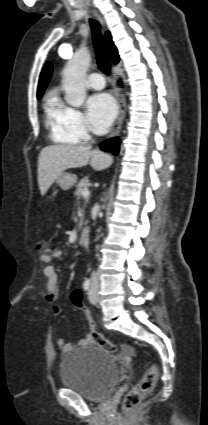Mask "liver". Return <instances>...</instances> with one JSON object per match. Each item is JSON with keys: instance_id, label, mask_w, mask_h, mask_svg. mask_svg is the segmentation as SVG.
Listing matches in <instances>:
<instances>
[{"instance_id": "1", "label": "liver", "mask_w": 208, "mask_h": 425, "mask_svg": "<svg viewBox=\"0 0 208 425\" xmlns=\"http://www.w3.org/2000/svg\"><path fill=\"white\" fill-rule=\"evenodd\" d=\"M113 158L100 150L76 145H51L40 151L38 158V184L42 196L53 182L66 170L80 168L90 163L96 171L108 168Z\"/></svg>"}]
</instances>
